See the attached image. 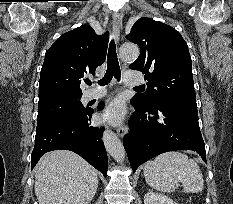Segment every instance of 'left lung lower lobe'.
Wrapping results in <instances>:
<instances>
[{
	"instance_id": "obj_1",
	"label": "left lung lower lobe",
	"mask_w": 233,
	"mask_h": 204,
	"mask_svg": "<svg viewBox=\"0 0 233 204\" xmlns=\"http://www.w3.org/2000/svg\"><path fill=\"white\" fill-rule=\"evenodd\" d=\"M136 111L123 144L133 172L151 158L168 151L193 150L205 157L196 102L160 99L149 105L131 100Z\"/></svg>"
}]
</instances>
